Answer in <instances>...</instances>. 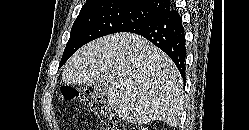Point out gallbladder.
Wrapping results in <instances>:
<instances>
[{
    "mask_svg": "<svg viewBox=\"0 0 249 130\" xmlns=\"http://www.w3.org/2000/svg\"><path fill=\"white\" fill-rule=\"evenodd\" d=\"M94 94L99 97H105L107 95V89L103 85H95Z\"/></svg>",
    "mask_w": 249,
    "mask_h": 130,
    "instance_id": "gallbladder-1",
    "label": "gallbladder"
}]
</instances>
